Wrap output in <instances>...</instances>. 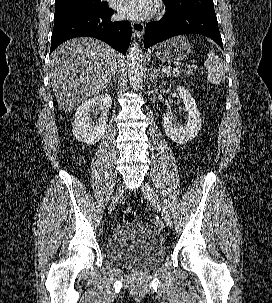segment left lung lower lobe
Here are the masks:
<instances>
[{
	"label": "left lung lower lobe",
	"mask_w": 272,
	"mask_h": 303,
	"mask_svg": "<svg viewBox=\"0 0 272 303\" xmlns=\"http://www.w3.org/2000/svg\"><path fill=\"white\" fill-rule=\"evenodd\" d=\"M201 34L213 39L222 49V39L214 11H188L178 15L166 14L145 28V48L181 34Z\"/></svg>",
	"instance_id": "obj_1"
}]
</instances>
